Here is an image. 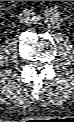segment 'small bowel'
<instances>
[{
	"mask_svg": "<svg viewBox=\"0 0 74 122\" xmlns=\"http://www.w3.org/2000/svg\"><path fill=\"white\" fill-rule=\"evenodd\" d=\"M48 15H49V16H52V17H56L57 14H56L55 9H52V8L49 9V11H48Z\"/></svg>",
	"mask_w": 74,
	"mask_h": 122,
	"instance_id": "small-bowel-1",
	"label": "small bowel"
}]
</instances>
